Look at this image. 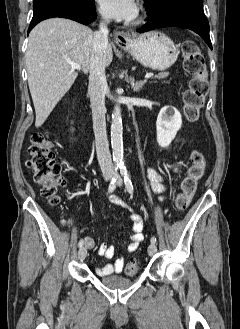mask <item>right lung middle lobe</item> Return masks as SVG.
Masks as SVG:
<instances>
[{
  "label": "right lung middle lobe",
  "instance_id": "obj_1",
  "mask_svg": "<svg viewBox=\"0 0 240 329\" xmlns=\"http://www.w3.org/2000/svg\"><path fill=\"white\" fill-rule=\"evenodd\" d=\"M35 2L40 1V0H34ZM49 1H60V2H66L74 5H89L94 0H49Z\"/></svg>",
  "mask_w": 240,
  "mask_h": 329
}]
</instances>
